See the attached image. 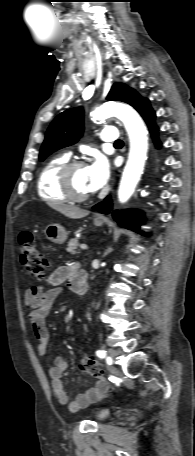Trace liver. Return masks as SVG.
<instances>
[{
    "instance_id": "obj_1",
    "label": "liver",
    "mask_w": 195,
    "mask_h": 456,
    "mask_svg": "<svg viewBox=\"0 0 195 456\" xmlns=\"http://www.w3.org/2000/svg\"><path fill=\"white\" fill-rule=\"evenodd\" d=\"M52 209L60 212L64 216L71 219H80L86 217L89 214V211L81 209L77 206H72L64 204L61 202H48L47 203Z\"/></svg>"
}]
</instances>
